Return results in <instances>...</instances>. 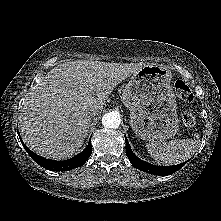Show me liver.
<instances>
[{"label":"liver","instance_id":"6515ba94","mask_svg":"<svg viewBox=\"0 0 221 221\" xmlns=\"http://www.w3.org/2000/svg\"><path fill=\"white\" fill-rule=\"evenodd\" d=\"M143 66L92 60L57 65L24 103L19 116L24 143L43 157H72L87 136L90 111H102L113 89Z\"/></svg>","mask_w":221,"mask_h":221}]
</instances>
